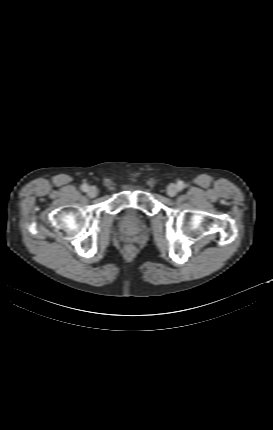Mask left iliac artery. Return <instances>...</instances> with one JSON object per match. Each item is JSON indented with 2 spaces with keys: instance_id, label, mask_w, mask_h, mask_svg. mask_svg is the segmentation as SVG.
Instances as JSON below:
<instances>
[{
  "instance_id": "obj_1",
  "label": "left iliac artery",
  "mask_w": 273,
  "mask_h": 430,
  "mask_svg": "<svg viewBox=\"0 0 273 430\" xmlns=\"http://www.w3.org/2000/svg\"><path fill=\"white\" fill-rule=\"evenodd\" d=\"M178 186H179V188H180V189H182V188H184V186H185V185H184V183H183L182 181H180V182L178 183Z\"/></svg>"
}]
</instances>
